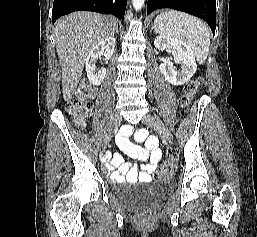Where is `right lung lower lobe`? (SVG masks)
Returning <instances> with one entry per match:
<instances>
[{"mask_svg": "<svg viewBox=\"0 0 257 237\" xmlns=\"http://www.w3.org/2000/svg\"><path fill=\"white\" fill-rule=\"evenodd\" d=\"M127 0H54L52 22L74 11H93L124 18Z\"/></svg>", "mask_w": 257, "mask_h": 237, "instance_id": "98d812e1", "label": "right lung lower lobe"}]
</instances>
